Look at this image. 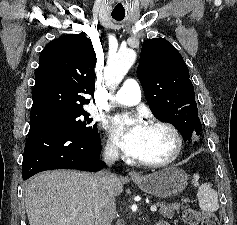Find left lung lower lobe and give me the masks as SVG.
<instances>
[{"mask_svg":"<svg viewBox=\"0 0 237 225\" xmlns=\"http://www.w3.org/2000/svg\"><path fill=\"white\" fill-rule=\"evenodd\" d=\"M201 132V122L197 119L194 124L182 134L184 141H190L191 138L195 137L196 135H200ZM197 144V142H195Z\"/></svg>","mask_w":237,"mask_h":225,"instance_id":"left-lung-lower-lobe-1","label":"left lung lower lobe"}]
</instances>
